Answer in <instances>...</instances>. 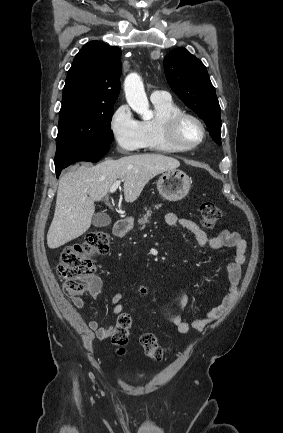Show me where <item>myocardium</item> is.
<instances>
[{"mask_svg": "<svg viewBox=\"0 0 283 433\" xmlns=\"http://www.w3.org/2000/svg\"><path fill=\"white\" fill-rule=\"evenodd\" d=\"M187 119L194 121L201 130L200 139L190 145H184L178 139L179 127ZM165 132L167 142L178 152H189L198 148L207 137V127L205 123L197 115L187 111H179L177 113H174L168 119Z\"/></svg>", "mask_w": 283, "mask_h": 433, "instance_id": "f54148a6", "label": "myocardium"}]
</instances>
